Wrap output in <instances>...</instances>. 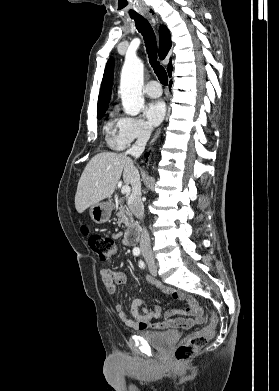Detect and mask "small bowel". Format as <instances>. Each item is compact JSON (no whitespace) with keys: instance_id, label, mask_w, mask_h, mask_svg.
Wrapping results in <instances>:
<instances>
[{"instance_id":"1","label":"small bowel","mask_w":279,"mask_h":391,"mask_svg":"<svg viewBox=\"0 0 279 391\" xmlns=\"http://www.w3.org/2000/svg\"><path fill=\"white\" fill-rule=\"evenodd\" d=\"M114 239L121 237V233H115L112 236ZM128 244V243H127ZM101 280L108 294L113 295L118 285H122L126 281V275L122 272H112L107 268L100 270ZM148 282L160 291L169 294L172 298L184 301L188 304L185 311L169 310L165 313L163 321L153 323V319H158L162 315V309L155 306L152 310L143 308V300L136 298L131 305V316L123 311L122 305L118 302L114 304V309L118 313L120 320L129 327L138 330L157 329L164 330L171 327H179L190 329L194 326L203 324L205 316L203 309L199 306L197 301L190 295H187L176 289L167 288L159 281L148 278ZM177 315H186L189 318L176 317Z\"/></svg>"}]
</instances>
